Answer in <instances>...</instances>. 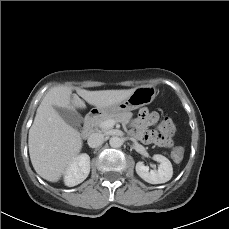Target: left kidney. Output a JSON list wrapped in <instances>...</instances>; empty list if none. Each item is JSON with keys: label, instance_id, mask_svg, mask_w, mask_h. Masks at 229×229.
<instances>
[{"label": "left kidney", "instance_id": "5707ae66", "mask_svg": "<svg viewBox=\"0 0 229 229\" xmlns=\"http://www.w3.org/2000/svg\"><path fill=\"white\" fill-rule=\"evenodd\" d=\"M153 159L160 163L158 170L149 171V167L143 162L136 164V173L146 182L151 184H161L169 181L173 175L172 164L165 156L155 154Z\"/></svg>", "mask_w": 229, "mask_h": 229}]
</instances>
